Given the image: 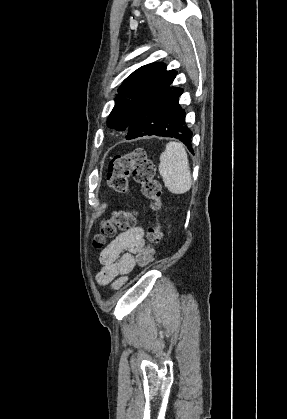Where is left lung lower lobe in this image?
Instances as JSON below:
<instances>
[{"mask_svg": "<svg viewBox=\"0 0 287 419\" xmlns=\"http://www.w3.org/2000/svg\"><path fill=\"white\" fill-rule=\"evenodd\" d=\"M181 88L163 90L144 104L132 116L127 140L143 136L174 137L182 141L193 153L192 131L186 126L185 111L178 103Z\"/></svg>", "mask_w": 287, "mask_h": 419, "instance_id": "left-lung-lower-lobe-1", "label": "left lung lower lobe"}]
</instances>
